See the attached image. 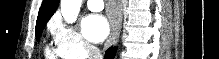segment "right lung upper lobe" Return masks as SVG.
<instances>
[{"instance_id": "1", "label": "right lung upper lobe", "mask_w": 219, "mask_h": 59, "mask_svg": "<svg viewBox=\"0 0 219 59\" xmlns=\"http://www.w3.org/2000/svg\"><path fill=\"white\" fill-rule=\"evenodd\" d=\"M59 0H43L39 9L36 28L45 26L51 16L55 13Z\"/></svg>"}]
</instances>
